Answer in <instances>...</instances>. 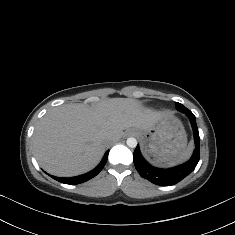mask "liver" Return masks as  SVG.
Wrapping results in <instances>:
<instances>
[{"label": "liver", "mask_w": 235, "mask_h": 235, "mask_svg": "<svg viewBox=\"0 0 235 235\" xmlns=\"http://www.w3.org/2000/svg\"><path fill=\"white\" fill-rule=\"evenodd\" d=\"M170 116L144 109L139 101L113 98L95 108L61 105L47 112L32 137L39 165L56 176H73L92 169L109 143L124 130H147Z\"/></svg>", "instance_id": "liver-1"}]
</instances>
